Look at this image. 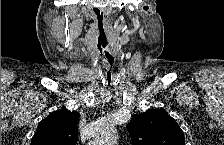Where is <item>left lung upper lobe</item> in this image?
Listing matches in <instances>:
<instances>
[{
    "label": "left lung upper lobe",
    "instance_id": "obj_1",
    "mask_svg": "<svg viewBox=\"0 0 224 145\" xmlns=\"http://www.w3.org/2000/svg\"><path fill=\"white\" fill-rule=\"evenodd\" d=\"M127 129L133 145H185L183 131L162 109L132 117Z\"/></svg>",
    "mask_w": 224,
    "mask_h": 145
}]
</instances>
